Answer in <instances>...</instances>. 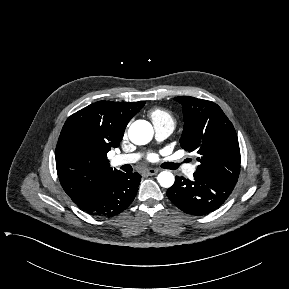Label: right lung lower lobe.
I'll list each match as a JSON object with an SVG mask.
<instances>
[{
	"label": "right lung lower lobe",
	"instance_id": "1",
	"mask_svg": "<svg viewBox=\"0 0 289 289\" xmlns=\"http://www.w3.org/2000/svg\"><path fill=\"white\" fill-rule=\"evenodd\" d=\"M140 181V174L120 171L75 204L93 216L112 217L132 203Z\"/></svg>",
	"mask_w": 289,
	"mask_h": 289
}]
</instances>
